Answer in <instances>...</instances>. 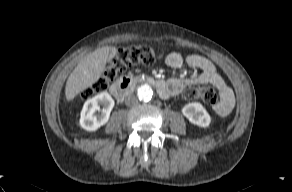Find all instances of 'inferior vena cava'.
<instances>
[{
	"label": "inferior vena cava",
	"mask_w": 292,
	"mask_h": 192,
	"mask_svg": "<svg viewBox=\"0 0 292 192\" xmlns=\"http://www.w3.org/2000/svg\"><path fill=\"white\" fill-rule=\"evenodd\" d=\"M137 102H138V98L135 95H129L125 100V103L128 106L135 105Z\"/></svg>",
	"instance_id": "1"
}]
</instances>
